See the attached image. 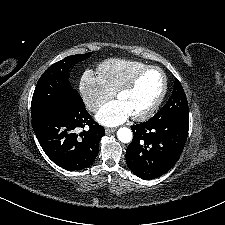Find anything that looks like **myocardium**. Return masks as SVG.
I'll return each mask as SVG.
<instances>
[{
	"label": "myocardium",
	"instance_id": "1",
	"mask_svg": "<svg viewBox=\"0 0 225 225\" xmlns=\"http://www.w3.org/2000/svg\"><path fill=\"white\" fill-rule=\"evenodd\" d=\"M149 70H155V71H158L161 74V76H162V88H161V91H160L159 95L157 96L156 100L154 101V103L151 105V107L147 111H145L142 114L132 116V119L135 120V121L147 120L148 118H150L156 112V110L160 106V104L163 101V99L165 97V94L167 92V77H166L165 72L160 67L155 66V65L145 66V67L141 68L139 71H137L115 93V97L118 99L120 95L132 90L135 87V85L137 84V82L139 81V79L141 78V76Z\"/></svg>",
	"mask_w": 225,
	"mask_h": 225
}]
</instances>
